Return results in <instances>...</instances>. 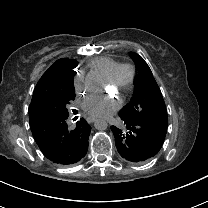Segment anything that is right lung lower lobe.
Wrapping results in <instances>:
<instances>
[{"label":"right lung lower lobe","mask_w":208,"mask_h":208,"mask_svg":"<svg viewBox=\"0 0 208 208\" xmlns=\"http://www.w3.org/2000/svg\"><path fill=\"white\" fill-rule=\"evenodd\" d=\"M67 118H41L29 113L30 128L37 145L45 157L58 165L77 163L88 150L90 125L81 119L73 130H69Z\"/></svg>","instance_id":"obj_1"}]
</instances>
